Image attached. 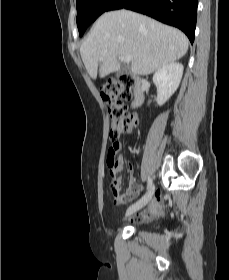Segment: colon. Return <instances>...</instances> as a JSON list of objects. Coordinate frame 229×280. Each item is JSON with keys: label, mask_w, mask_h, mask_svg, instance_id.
Segmentation results:
<instances>
[{"label": "colon", "mask_w": 229, "mask_h": 280, "mask_svg": "<svg viewBox=\"0 0 229 280\" xmlns=\"http://www.w3.org/2000/svg\"><path fill=\"white\" fill-rule=\"evenodd\" d=\"M135 81L128 75L121 76L117 80L109 81L100 87V94L104 102L109 106L110 140L108 149V166L112 169L116 163L115 155L120 147L121 135L128 133L134 126L132 118L127 117L124 101L131 99Z\"/></svg>", "instance_id": "1"}]
</instances>
